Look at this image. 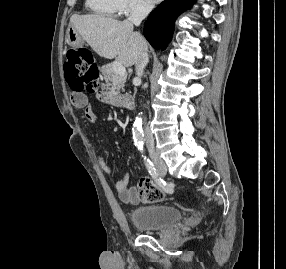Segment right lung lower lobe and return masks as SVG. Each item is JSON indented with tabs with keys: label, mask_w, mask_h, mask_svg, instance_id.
Masks as SVG:
<instances>
[{
	"label": "right lung lower lobe",
	"mask_w": 286,
	"mask_h": 269,
	"mask_svg": "<svg viewBox=\"0 0 286 269\" xmlns=\"http://www.w3.org/2000/svg\"><path fill=\"white\" fill-rule=\"evenodd\" d=\"M195 0H165L152 11L145 22L144 36L156 49H165L171 41L174 23L179 14Z\"/></svg>",
	"instance_id": "1"
}]
</instances>
